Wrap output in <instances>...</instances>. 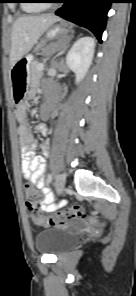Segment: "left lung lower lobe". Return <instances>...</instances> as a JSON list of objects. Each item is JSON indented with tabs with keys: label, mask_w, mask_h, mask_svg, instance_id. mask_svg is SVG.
I'll return each mask as SVG.
<instances>
[{
	"label": "left lung lower lobe",
	"mask_w": 136,
	"mask_h": 296,
	"mask_svg": "<svg viewBox=\"0 0 136 296\" xmlns=\"http://www.w3.org/2000/svg\"><path fill=\"white\" fill-rule=\"evenodd\" d=\"M113 0H64L55 14L94 33L99 42L104 31L107 13Z\"/></svg>",
	"instance_id": "1"
}]
</instances>
